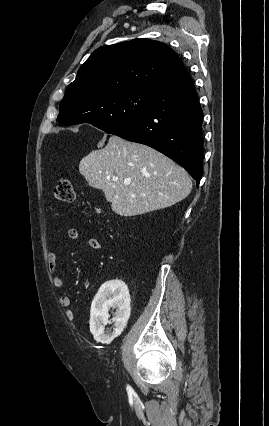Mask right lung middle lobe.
Here are the masks:
<instances>
[{"mask_svg": "<svg viewBox=\"0 0 269 426\" xmlns=\"http://www.w3.org/2000/svg\"><path fill=\"white\" fill-rule=\"evenodd\" d=\"M154 94L138 89L109 92L92 98L69 94L60 104L57 121L63 125L89 123L109 132L145 112Z\"/></svg>", "mask_w": 269, "mask_h": 426, "instance_id": "right-lung-middle-lobe-1", "label": "right lung middle lobe"}]
</instances>
